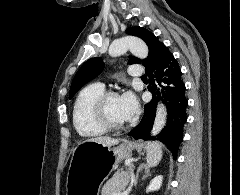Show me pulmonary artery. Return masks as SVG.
<instances>
[{
	"label": "pulmonary artery",
	"mask_w": 240,
	"mask_h": 195,
	"mask_svg": "<svg viewBox=\"0 0 240 195\" xmlns=\"http://www.w3.org/2000/svg\"><path fill=\"white\" fill-rule=\"evenodd\" d=\"M130 70L128 75L132 76V78H139V75L143 72L140 65H131Z\"/></svg>",
	"instance_id": "pulmonary-artery-1"
}]
</instances>
